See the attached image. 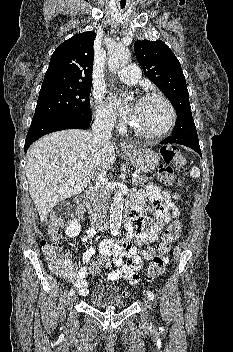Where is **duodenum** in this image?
<instances>
[{
  "label": "duodenum",
  "instance_id": "1",
  "mask_svg": "<svg viewBox=\"0 0 233 352\" xmlns=\"http://www.w3.org/2000/svg\"><path fill=\"white\" fill-rule=\"evenodd\" d=\"M95 194H96L95 188L89 187L84 193L83 203L87 207L91 216L98 219L100 217V208L96 202ZM135 210H136V203L134 202V200H130L126 204V207L124 210L125 219L127 220L128 218H130L134 214ZM99 227L105 228L106 224L103 222H100Z\"/></svg>",
  "mask_w": 233,
  "mask_h": 352
}]
</instances>
